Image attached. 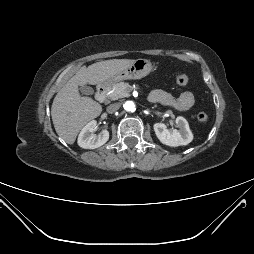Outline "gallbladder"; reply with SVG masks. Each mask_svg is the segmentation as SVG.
Returning a JSON list of instances; mask_svg holds the SVG:
<instances>
[{
  "label": "gallbladder",
  "mask_w": 254,
  "mask_h": 254,
  "mask_svg": "<svg viewBox=\"0 0 254 254\" xmlns=\"http://www.w3.org/2000/svg\"><path fill=\"white\" fill-rule=\"evenodd\" d=\"M79 89H80V92L85 95H92L94 93V90L87 85H83Z\"/></svg>",
  "instance_id": "1"
}]
</instances>
